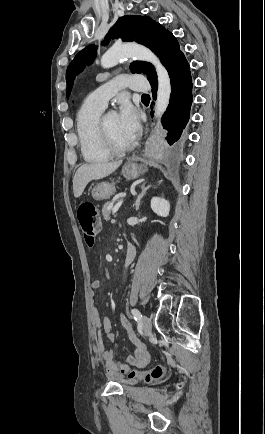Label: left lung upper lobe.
Instances as JSON below:
<instances>
[{
	"mask_svg": "<svg viewBox=\"0 0 265 434\" xmlns=\"http://www.w3.org/2000/svg\"><path fill=\"white\" fill-rule=\"evenodd\" d=\"M119 37L123 41H136L150 48L162 60L168 71L178 56L183 54L173 34L148 16L127 15L119 18L107 34L104 44H107L110 39ZM95 50L94 46L86 47L68 66L66 72L67 97L70 95L75 76L83 70L85 64L93 61ZM130 71L147 74L151 86L157 85V75L151 64L135 61L130 65Z\"/></svg>",
	"mask_w": 265,
	"mask_h": 434,
	"instance_id": "left-lung-upper-lobe-1",
	"label": "left lung upper lobe"
}]
</instances>
